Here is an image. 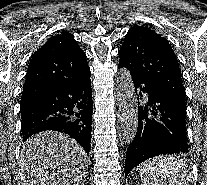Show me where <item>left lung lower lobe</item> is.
Here are the masks:
<instances>
[{"mask_svg":"<svg viewBox=\"0 0 207 185\" xmlns=\"http://www.w3.org/2000/svg\"><path fill=\"white\" fill-rule=\"evenodd\" d=\"M132 80L137 99L145 96L148 101L138 106V129L127 149L125 176L149 158L188 152L186 106L150 81L141 77H132Z\"/></svg>","mask_w":207,"mask_h":185,"instance_id":"left-lung-lower-lobe-1","label":"left lung lower lobe"}]
</instances>
